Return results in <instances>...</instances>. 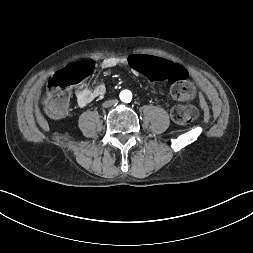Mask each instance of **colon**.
I'll use <instances>...</instances> for the list:
<instances>
[{
	"instance_id": "obj_1",
	"label": "colon",
	"mask_w": 253,
	"mask_h": 253,
	"mask_svg": "<svg viewBox=\"0 0 253 253\" xmlns=\"http://www.w3.org/2000/svg\"><path fill=\"white\" fill-rule=\"evenodd\" d=\"M129 68L135 74L161 82H169L171 94L180 102H188L194 97V87L188 80L186 70L175 61H164L157 57H148L144 53H135L129 59ZM92 71L91 62H82L66 67L56 73L47 88L45 106L54 117L63 116L68 108L69 88L84 81ZM198 111L192 105H177L171 110L173 121L186 125L196 119Z\"/></svg>"
}]
</instances>
